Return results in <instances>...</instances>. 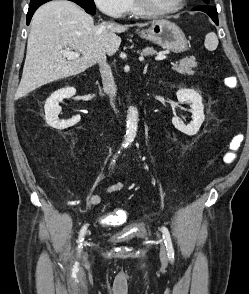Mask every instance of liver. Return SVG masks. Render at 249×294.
<instances>
[{
  "instance_id": "1",
  "label": "liver",
  "mask_w": 249,
  "mask_h": 294,
  "mask_svg": "<svg viewBox=\"0 0 249 294\" xmlns=\"http://www.w3.org/2000/svg\"><path fill=\"white\" fill-rule=\"evenodd\" d=\"M129 27L106 22L95 26L90 15L67 0L42 5L31 21L23 74L15 97L21 98L47 83L80 74L99 63L104 54L114 55L121 44L116 33ZM63 48H71L81 56L68 60L61 53Z\"/></svg>"
}]
</instances>
